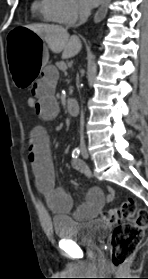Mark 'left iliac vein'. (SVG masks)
<instances>
[{
  "mask_svg": "<svg viewBox=\"0 0 148 279\" xmlns=\"http://www.w3.org/2000/svg\"><path fill=\"white\" fill-rule=\"evenodd\" d=\"M82 156L87 159L89 157L88 152L85 148L82 149Z\"/></svg>",
  "mask_w": 148,
  "mask_h": 279,
  "instance_id": "1",
  "label": "left iliac vein"
}]
</instances>
